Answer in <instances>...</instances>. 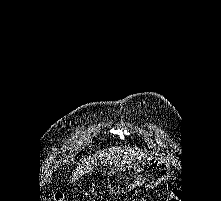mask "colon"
<instances>
[{
	"label": "colon",
	"mask_w": 221,
	"mask_h": 201,
	"mask_svg": "<svg viewBox=\"0 0 221 201\" xmlns=\"http://www.w3.org/2000/svg\"><path fill=\"white\" fill-rule=\"evenodd\" d=\"M46 201H69L68 198L61 193L49 197ZM166 201H183V194L181 189L175 188Z\"/></svg>",
	"instance_id": "obj_1"
}]
</instances>
